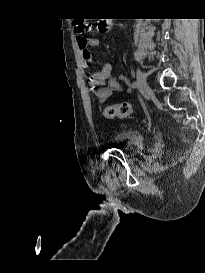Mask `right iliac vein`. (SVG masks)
<instances>
[{
	"label": "right iliac vein",
	"instance_id": "1",
	"mask_svg": "<svg viewBox=\"0 0 205 273\" xmlns=\"http://www.w3.org/2000/svg\"><path fill=\"white\" fill-rule=\"evenodd\" d=\"M136 85L140 91H143L147 88V82L144 74L142 73L141 70H137V75H136Z\"/></svg>",
	"mask_w": 205,
	"mask_h": 273
}]
</instances>
